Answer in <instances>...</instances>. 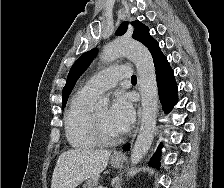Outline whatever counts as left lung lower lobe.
<instances>
[{"label": "left lung lower lobe", "mask_w": 224, "mask_h": 188, "mask_svg": "<svg viewBox=\"0 0 224 188\" xmlns=\"http://www.w3.org/2000/svg\"><path fill=\"white\" fill-rule=\"evenodd\" d=\"M154 65L156 69L159 99L163 106V110L165 113H168L177 103V85L175 82L173 70L171 69L166 57H163ZM129 149V144L124 147V151H128ZM159 156L160 148L150 161L152 166H159Z\"/></svg>", "instance_id": "obj_1"}]
</instances>
